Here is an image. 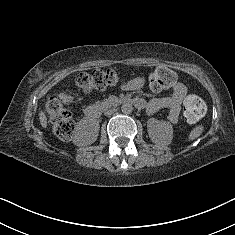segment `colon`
<instances>
[{"label":"colon","mask_w":235,"mask_h":235,"mask_svg":"<svg viewBox=\"0 0 235 235\" xmlns=\"http://www.w3.org/2000/svg\"><path fill=\"white\" fill-rule=\"evenodd\" d=\"M121 80L114 70H93L90 73H80L76 76V85L85 93L103 91L114 86ZM176 83V74L166 67L156 68L149 76L150 88L159 93ZM46 111L50 116L54 134L63 141L71 139L75 128L72 114L63 107L57 97H50L46 103ZM205 113V104L198 96L189 95L183 103V114L187 121L197 122Z\"/></svg>","instance_id":"obj_1"}]
</instances>
